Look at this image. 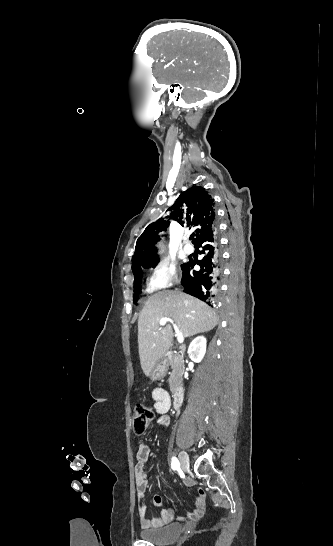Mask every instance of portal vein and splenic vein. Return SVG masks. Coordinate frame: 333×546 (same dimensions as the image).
Listing matches in <instances>:
<instances>
[{"instance_id": "18ae733b", "label": "portal vein and splenic vein", "mask_w": 333, "mask_h": 546, "mask_svg": "<svg viewBox=\"0 0 333 546\" xmlns=\"http://www.w3.org/2000/svg\"><path fill=\"white\" fill-rule=\"evenodd\" d=\"M168 322H170L174 327L175 336L177 338L178 343L182 344L184 342L183 334L179 331L178 327L176 326V324L174 323V321L171 318H169V317L161 318L160 321H159V325L164 326Z\"/></svg>"}]
</instances>
